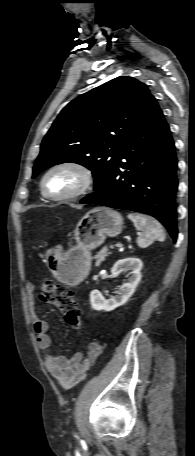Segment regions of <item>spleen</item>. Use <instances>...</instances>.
Here are the masks:
<instances>
[{
    "instance_id": "obj_1",
    "label": "spleen",
    "mask_w": 195,
    "mask_h": 456,
    "mask_svg": "<svg viewBox=\"0 0 195 456\" xmlns=\"http://www.w3.org/2000/svg\"><path fill=\"white\" fill-rule=\"evenodd\" d=\"M128 218L134 223L135 227L141 231L137 238L138 246L144 248L149 246L154 240H165V233L162 225L153 217L139 213H130Z\"/></svg>"
}]
</instances>
